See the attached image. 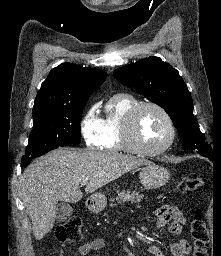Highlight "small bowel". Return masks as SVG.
<instances>
[{"label":"small bowel","instance_id":"obj_1","mask_svg":"<svg viewBox=\"0 0 221 256\" xmlns=\"http://www.w3.org/2000/svg\"><path fill=\"white\" fill-rule=\"evenodd\" d=\"M156 216V227H163L169 225L170 233L178 235L182 231V226L185 223V218L181 211L172 205H164L155 210ZM106 241L104 238H94L90 241L83 243L78 248V254L80 256L88 255L92 252L101 250L105 247ZM170 250L173 256H187L191 247L190 244L185 240L181 239L177 242H173L170 245ZM151 256H163L161 249L156 245H151L148 248Z\"/></svg>","mask_w":221,"mask_h":256}]
</instances>
